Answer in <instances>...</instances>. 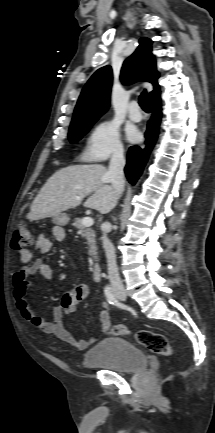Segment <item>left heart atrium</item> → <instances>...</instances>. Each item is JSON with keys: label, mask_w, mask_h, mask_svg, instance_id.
I'll return each mask as SVG.
<instances>
[{"label": "left heart atrium", "mask_w": 215, "mask_h": 433, "mask_svg": "<svg viewBox=\"0 0 215 433\" xmlns=\"http://www.w3.org/2000/svg\"><path fill=\"white\" fill-rule=\"evenodd\" d=\"M127 137L130 141L134 142L139 138V132L135 128H129L127 130Z\"/></svg>", "instance_id": "obj_1"}]
</instances>
